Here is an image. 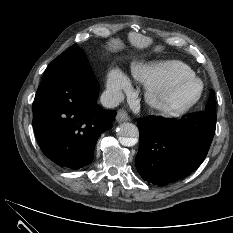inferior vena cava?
<instances>
[{
    "mask_svg": "<svg viewBox=\"0 0 233 233\" xmlns=\"http://www.w3.org/2000/svg\"><path fill=\"white\" fill-rule=\"evenodd\" d=\"M101 104L107 108L117 107L123 100V95L114 91H104L101 95Z\"/></svg>",
    "mask_w": 233,
    "mask_h": 233,
    "instance_id": "inferior-vena-cava-1",
    "label": "inferior vena cava"
}]
</instances>
